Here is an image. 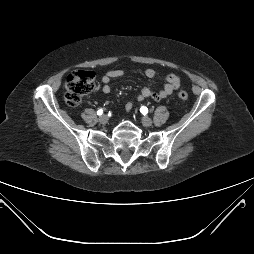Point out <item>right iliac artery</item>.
Listing matches in <instances>:
<instances>
[{
    "mask_svg": "<svg viewBox=\"0 0 254 254\" xmlns=\"http://www.w3.org/2000/svg\"><path fill=\"white\" fill-rule=\"evenodd\" d=\"M97 114H98V115H102V114H103V109H99V110L97 111Z\"/></svg>",
    "mask_w": 254,
    "mask_h": 254,
    "instance_id": "right-iliac-artery-1",
    "label": "right iliac artery"
}]
</instances>
